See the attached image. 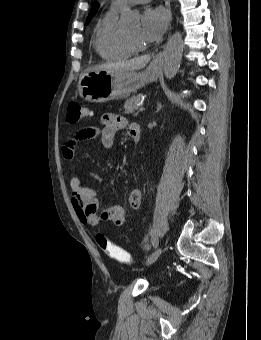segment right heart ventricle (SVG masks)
Masks as SVG:
<instances>
[{
    "instance_id": "right-heart-ventricle-1",
    "label": "right heart ventricle",
    "mask_w": 261,
    "mask_h": 340,
    "mask_svg": "<svg viewBox=\"0 0 261 340\" xmlns=\"http://www.w3.org/2000/svg\"><path fill=\"white\" fill-rule=\"evenodd\" d=\"M118 11L110 7L98 23L95 31V51L106 61L122 60L134 54V51L126 42L125 32L118 26Z\"/></svg>"
}]
</instances>
